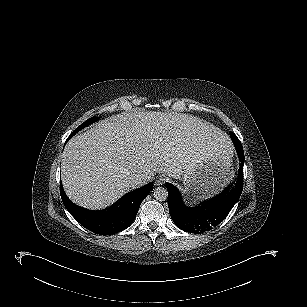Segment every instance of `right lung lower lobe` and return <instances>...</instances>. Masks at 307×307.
Segmentation results:
<instances>
[{"label":"right lung lower lobe","instance_id":"right-lung-lower-lobe-1","mask_svg":"<svg viewBox=\"0 0 307 307\" xmlns=\"http://www.w3.org/2000/svg\"><path fill=\"white\" fill-rule=\"evenodd\" d=\"M153 183L123 196L112 206L103 210H88L73 204L60 183V194L66 209L86 229L100 235H111L128 228L134 221L139 207Z\"/></svg>","mask_w":307,"mask_h":307}]
</instances>
